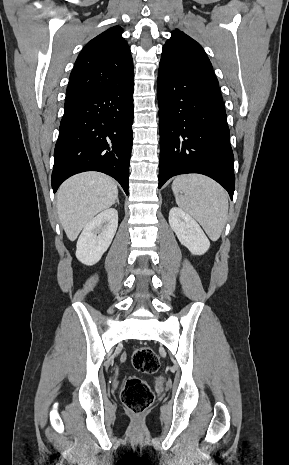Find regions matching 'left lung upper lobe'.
Here are the masks:
<instances>
[{
    "instance_id": "obj_1",
    "label": "left lung upper lobe",
    "mask_w": 289,
    "mask_h": 465,
    "mask_svg": "<svg viewBox=\"0 0 289 465\" xmlns=\"http://www.w3.org/2000/svg\"><path fill=\"white\" fill-rule=\"evenodd\" d=\"M159 73L218 84L210 60L201 45L178 29L172 32L171 38L163 47Z\"/></svg>"
}]
</instances>
